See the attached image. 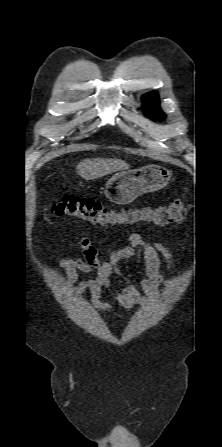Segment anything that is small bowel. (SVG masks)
Segmentation results:
<instances>
[{
	"mask_svg": "<svg viewBox=\"0 0 222 447\" xmlns=\"http://www.w3.org/2000/svg\"><path fill=\"white\" fill-rule=\"evenodd\" d=\"M130 246L120 248L109 253L106 260L100 259L96 246L90 238L82 236L78 238V244L83 251L84 259H61L59 264L68 276V283L72 289L80 293L88 289L91 293L93 304L103 311H110L111 306L102 301L104 291H107L127 310L135 305L154 301L158 288L162 284L170 283L161 269L160 256L166 260L167 270L174 266V259L169 249L159 242H148L140 234L132 233L129 237ZM144 250V264L147 278L141 282V290L127 279L119 266L122 260L131 259L135 255V248ZM94 275V278L78 282V272ZM118 276L123 280V286L116 288L113 285V277Z\"/></svg>",
	"mask_w": 222,
	"mask_h": 447,
	"instance_id": "small-bowel-1",
	"label": "small bowel"
}]
</instances>
